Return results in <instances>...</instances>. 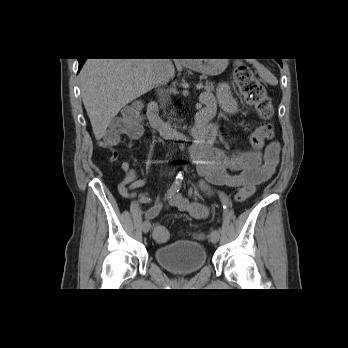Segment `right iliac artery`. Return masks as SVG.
Masks as SVG:
<instances>
[{"label":"right iliac artery","mask_w":348,"mask_h":348,"mask_svg":"<svg viewBox=\"0 0 348 348\" xmlns=\"http://www.w3.org/2000/svg\"><path fill=\"white\" fill-rule=\"evenodd\" d=\"M182 177H180V174L176 177V181L174 182V184L172 185V187L169 189V191L167 192L165 197H170L171 195H173L174 193L179 191L180 185H181V180ZM147 201H150V196L144 195L143 197H141V199H137V204H142L145 205L147 203Z\"/></svg>","instance_id":"82829eb1"}]
</instances>
